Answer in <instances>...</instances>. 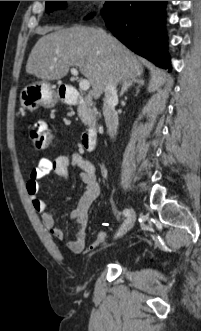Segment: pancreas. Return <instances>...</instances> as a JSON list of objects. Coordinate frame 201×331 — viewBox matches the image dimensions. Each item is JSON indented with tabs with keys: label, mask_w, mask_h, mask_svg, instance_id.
<instances>
[{
	"label": "pancreas",
	"mask_w": 201,
	"mask_h": 331,
	"mask_svg": "<svg viewBox=\"0 0 201 331\" xmlns=\"http://www.w3.org/2000/svg\"><path fill=\"white\" fill-rule=\"evenodd\" d=\"M78 116L85 125H90L96 118L97 110L95 108L78 107Z\"/></svg>",
	"instance_id": "obj_1"
}]
</instances>
